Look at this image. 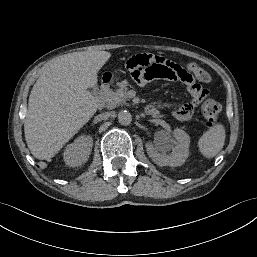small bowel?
I'll return each instance as SVG.
<instances>
[{
	"mask_svg": "<svg viewBox=\"0 0 257 257\" xmlns=\"http://www.w3.org/2000/svg\"><path fill=\"white\" fill-rule=\"evenodd\" d=\"M127 70L137 84L165 78L180 85L185 93H190L191 100L176 107L172 112L173 116L181 121L192 119L199 100L207 95L206 90L196 85L197 75L193 69L182 64L177 65L174 60H168L159 54L153 57L148 52H141L129 59Z\"/></svg>",
	"mask_w": 257,
	"mask_h": 257,
	"instance_id": "small-bowel-1",
	"label": "small bowel"
}]
</instances>
